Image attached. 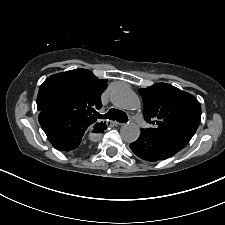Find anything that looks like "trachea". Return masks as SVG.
<instances>
[{
	"label": "trachea",
	"instance_id": "1",
	"mask_svg": "<svg viewBox=\"0 0 225 225\" xmlns=\"http://www.w3.org/2000/svg\"><path fill=\"white\" fill-rule=\"evenodd\" d=\"M95 117L99 119L117 120L120 123L128 122V117L125 112L118 109H110L106 114L100 115L98 112H94Z\"/></svg>",
	"mask_w": 225,
	"mask_h": 225
}]
</instances>
